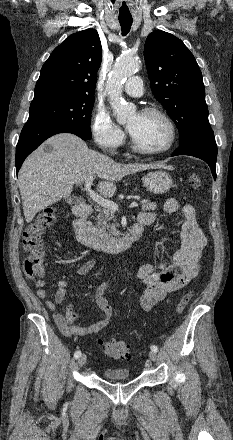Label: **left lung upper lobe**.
<instances>
[{
    "mask_svg": "<svg viewBox=\"0 0 233 440\" xmlns=\"http://www.w3.org/2000/svg\"><path fill=\"white\" fill-rule=\"evenodd\" d=\"M144 58L152 92L178 128L179 145L211 131L202 73L184 43L154 31L146 39Z\"/></svg>",
    "mask_w": 233,
    "mask_h": 440,
    "instance_id": "1",
    "label": "left lung upper lobe"
}]
</instances>
